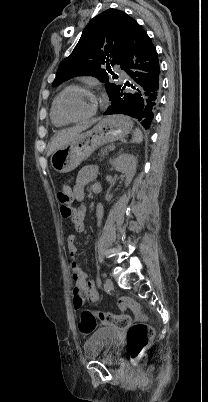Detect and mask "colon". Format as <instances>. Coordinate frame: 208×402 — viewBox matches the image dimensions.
<instances>
[{
  "instance_id": "colon-1",
  "label": "colon",
  "mask_w": 208,
  "mask_h": 402,
  "mask_svg": "<svg viewBox=\"0 0 208 402\" xmlns=\"http://www.w3.org/2000/svg\"><path fill=\"white\" fill-rule=\"evenodd\" d=\"M58 201L61 204L60 211L64 220L75 221L77 213L73 209L74 187L69 180H61L57 192ZM83 301L79 298V305ZM118 304L123 310L120 315L110 312L92 311L83 309L80 314L79 331L82 335L92 333L99 324L112 325L119 328L127 327L128 349L131 359H136L148 343L149 338L154 336L153 324H132L131 314L128 310H138V306L131 303L130 297H119Z\"/></svg>"
}]
</instances>
